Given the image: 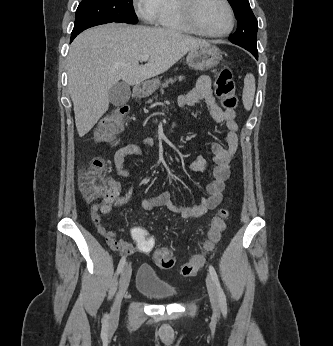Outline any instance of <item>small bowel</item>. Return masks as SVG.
I'll return each instance as SVG.
<instances>
[{"label":"small bowel","mask_w":333,"mask_h":346,"mask_svg":"<svg viewBox=\"0 0 333 346\" xmlns=\"http://www.w3.org/2000/svg\"><path fill=\"white\" fill-rule=\"evenodd\" d=\"M200 101L207 103L213 119L217 123L224 124L227 129L226 145H222L219 142H213L211 144V150L214 155V167L211 181L206 186L207 196L202 198L196 205L182 206L175 205L170 198L169 192H164L158 196L144 199L142 206L145 210L151 211L156 207L164 206L184 219H193L215 209L222 201L225 182L230 175L231 164L238 149L236 115L233 110L222 109L217 104L212 94L211 80L206 75L198 79L194 89L179 97L178 106L181 108L195 106ZM141 144L143 146H153L155 140L153 138H144ZM142 154V149L137 144H126L119 147L113 157L117 174L126 177L129 173L126 166V158L132 155L141 156ZM190 169L195 172H204L207 169V163L203 158L198 157L190 164ZM121 189L122 187L119 182L110 179L109 197L100 203L92 204L90 215L98 233L106 239L109 246L114 248V254H133L137 250V247L119 239L110 227L103 222L102 215L108 214L115 203L124 205L131 200L132 190L129 189L124 195H120Z\"/></svg>","instance_id":"obj_1"}]
</instances>
